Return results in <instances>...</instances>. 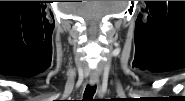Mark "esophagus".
<instances>
[{
	"instance_id": "34e87169",
	"label": "esophagus",
	"mask_w": 185,
	"mask_h": 101,
	"mask_svg": "<svg viewBox=\"0 0 185 101\" xmlns=\"http://www.w3.org/2000/svg\"><path fill=\"white\" fill-rule=\"evenodd\" d=\"M89 82L91 86H94L98 83V79L96 77H91Z\"/></svg>"
}]
</instances>
